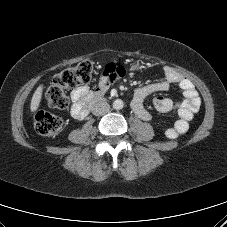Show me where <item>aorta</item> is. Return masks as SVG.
<instances>
[{
    "label": "aorta",
    "instance_id": "obj_1",
    "mask_svg": "<svg viewBox=\"0 0 227 227\" xmlns=\"http://www.w3.org/2000/svg\"><path fill=\"white\" fill-rule=\"evenodd\" d=\"M124 106V103L121 99H116L114 102H113V108L116 109V110H120L122 109Z\"/></svg>",
    "mask_w": 227,
    "mask_h": 227
}]
</instances>
